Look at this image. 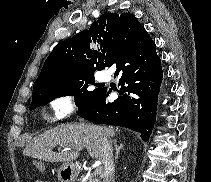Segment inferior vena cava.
<instances>
[{
  "instance_id": "obj_1",
  "label": "inferior vena cava",
  "mask_w": 211,
  "mask_h": 182,
  "mask_svg": "<svg viewBox=\"0 0 211 182\" xmlns=\"http://www.w3.org/2000/svg\"><path fill=\"white\" fill-rule=\"evenodd\" d=\"M104 179L103 182H114V160L111 140L103 138Z\"/></svg>"
}]
</instances>
